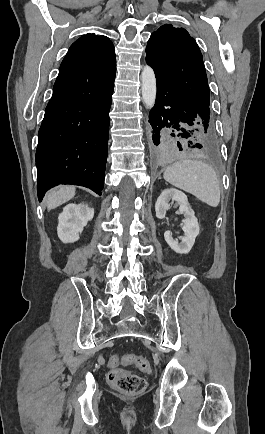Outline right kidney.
<instances>
[{
	"label": "right kidney",
	"mask_w": 265,
	"mask_h": 434,
	"mask_svg": "<svg viewBox=\"0 0 265 434\" xmlns=\"http://www.w3.org/2000/svg\"><path fill=\"white\" fill-rule=\"evenodd\" d=\"M94 208L87 204H68L59 214L57 234L63 244H73L80 238L84 226L92 220Z\"/></svg>",
	"instance_id": "obj_1"
}]
</instances>
